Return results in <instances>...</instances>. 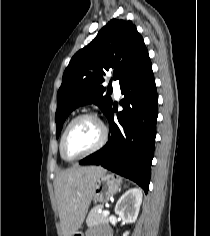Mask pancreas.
I'll use <instances>...</instances> for the list:
<instances>
[{"mask_svg":"<svg viewBox=\"0 0 210 236\" xmlns=\"http://www.w3.org/2000/svg\"><path fill=\"white\" fill-rule=\"evenodd\" d=\"M102 208L103 205H96L90 210L86 219V224L88 227H93L101 223H108V216H104L103 213L98 212V210Z\"/></svg>","mask_w":210,"mask_h":236,"instance_id":"pancreas-1","label":"pancreas"}]
</instances>
